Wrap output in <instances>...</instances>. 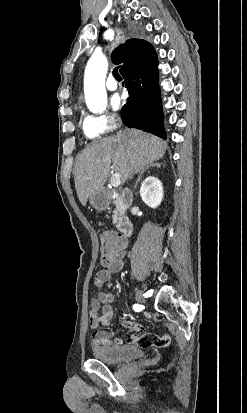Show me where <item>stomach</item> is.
Instances as JSON below:
<instances>
[{
  "label": "stomach",
  "mask_w": 247,
  "mask_h": 413,
  "mask_svg": "<svg viewBox=\"0 0 247 413\" xmlns=\"http://www.w3.org/2000/svg\"><path fill=\"white\" fill-rule=\"evenodd\" d=\"M110 200V194L109 192H107V190H105V188L96 190V192H92V194H90L89 196V202L90 204H92V207L96 209V211H105Z\"/></svg>",
  "instance_id": "1"
}]
</instances>
